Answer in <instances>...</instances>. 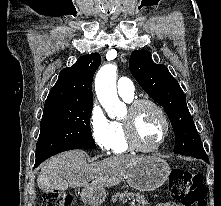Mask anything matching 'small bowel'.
Returning <instances> with one entry per match:
<instances>
[{"instance_id": "1", "label": "small bowel", "mask_w": 221, "mask_h": 206, "mask_svg": "<svg viewBox=\"0 0 221 206\" xmlns=\"http://www.w3.org/2000/svg\"><path fill=\"white\" fill-rule=\"evenodd\" d=\"M156 206H180L176 203H165V204H159V205H156Z\"/></svg>"}]
</instances>
